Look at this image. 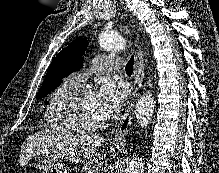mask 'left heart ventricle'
I'll use <instances>...</instances> for the list:
<instances>
[{"mask_svg":"<svg viewBox=\"0 0 219 173\" xmlns=\"http://www.w3.org/2000/svg\"><path fill=\"white\" fill-rule=\"evenodd\" d=\"M81 113L84 119L91 123H99L104 120L96 104L95 94H90L83 100Z\"/></svg>","mask_w":219,"mask_h":173,"instance_id":"left-heart-ventricle-1","label":"left heart ventricle"}]
</instances>
